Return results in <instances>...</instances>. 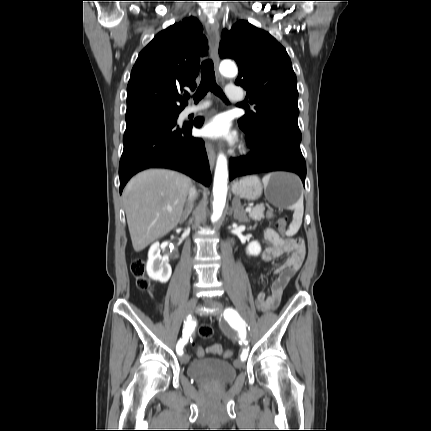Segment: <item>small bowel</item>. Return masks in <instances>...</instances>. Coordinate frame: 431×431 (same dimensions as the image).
Wrapping results in <instances>:
<instances>
[{"label": "small bowel", "instance_id": "c3829d8e", "mask_svg": "<svg viewBox=\"0 0 431 431\" xmlns=\"http://www.w3.org/2000/svg\"><path fill=\"white\" fill-rule=\"evenodd\" d=\"M264 237L269 242V246L264 250L262 255L264 260L272 261L286 253H289L290 256L275 270L278 277L272 283L270 290L268 292H259L256 295L260 300L259 305H261V310L263 311L277 307L286 285L300 269L305 258V246L302 240L284 239L270 228L264 231ZM203 350V354L208 353L222 356L225 352L219 344H212L206 349L203 348Z\"/></svg>", "mask_w": 431, "mask_h": 431}]
</instances>
